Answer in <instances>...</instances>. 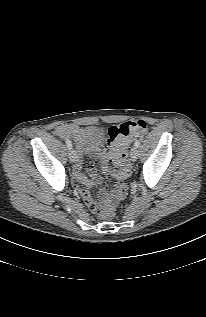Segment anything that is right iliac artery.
<instances>
[{"label":"right iliac artery","mask_w":206,"mask_h":317,"mask_svg":"<svg viewBox=\"0 0 206 317\" xmlns=\"http://www.w3.org/2000/svg\"><path fill=\"white\" fill-rule=\"evenodd\" d=\"M66 145H67V147H68L69 149L72 148V143H71L70 140H67V141H66Z\"/></svg>","instance_id":"1"}]
</instances>
